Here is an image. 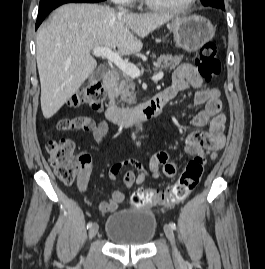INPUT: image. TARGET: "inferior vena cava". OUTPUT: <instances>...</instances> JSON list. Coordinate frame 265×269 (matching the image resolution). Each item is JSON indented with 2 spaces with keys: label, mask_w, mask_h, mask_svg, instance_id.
I'll return each mask as SVG.
<instances>
[{
  "label": "inferior vena cava",
  "mask_w": 265,
  "mask_h": 269,
  "mask_svg": "<svg viewBox=\"0 0 265 269\" xmlns=\"http://www.w3.org/2000/svg\"><path fill=\"white\" fill-rule=\"evenodd\" d=\"M118 9H119L120 13H125L126 12V10L123 7H118Z\"/></svg>",
  "instance_id": "1"
}]
</instances>
